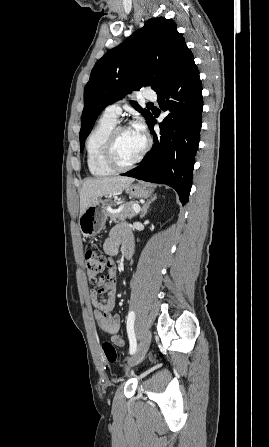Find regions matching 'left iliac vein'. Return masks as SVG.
<instances>
[{
  "label": "left iliac vein",
  "instance_id": "1",
  "mask_svg": "<svg viewBox=\"0 0 269 447\" xmlns=\"http://www.w3.org/2000/svg\"><path fill=\"white\" fill-rule=\"evenodd\" d=\"M150 341H151V332H150L149 328H146L143 330V332L140 336V340H139L136 352L127 361V365L129 367L137 365L144 358V356L148 350V347L150 345Z\"/></svg>",
  "mask_w": 269,
  "mask_h": 447
}]
</instances>
